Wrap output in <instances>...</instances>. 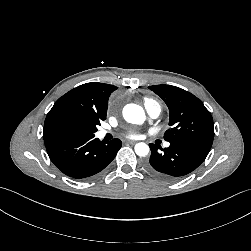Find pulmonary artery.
Masks as SVG:
<instances>
[{
	"mask_svg": "<svg viewBox=\"0 0 251 251\" xmlns=\"http://www.w3.org/2000/svg\"><path fill=\"white\" fill-rule=\"evenodd\" d=\"M144 106H145L146 112L149 115V117H151L153 119L157 118L161 113V106L154 100L145 101ZM107 133H108L107 130L102 129L98 132V136L102 138ZM165 146L168 147L169 143H165Z\"/></svg>",
	"mask_w": 251,
	"mask_h": 251,
	"instance_id": "pulmonary-artery-1",
	"label": "pulmonary artery"
}]
</instances>
